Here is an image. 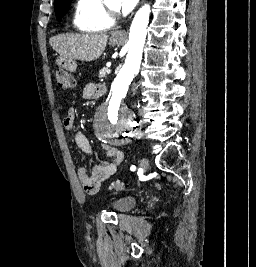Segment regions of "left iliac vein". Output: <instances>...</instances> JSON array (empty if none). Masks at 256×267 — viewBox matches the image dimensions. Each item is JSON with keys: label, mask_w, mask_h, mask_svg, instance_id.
Wrapping results in <instances>:
<instances>
[{"label": "left iliac vein", "mask_w": 256, "mask_h": 267, "mask_svg": "<svg viewBox=\"0 0 256 267\" xmlns=\"http://www.w3.org/2000/svg\"><path fill=\"white\" fill-rule=\"evenodd\" d=\"M139 166L142 168V170H147L148 168V160L146 158H142L140 161H139Z\"/></svg>", "instance_id": "left-iliac-vein-1"}]
</instances>
